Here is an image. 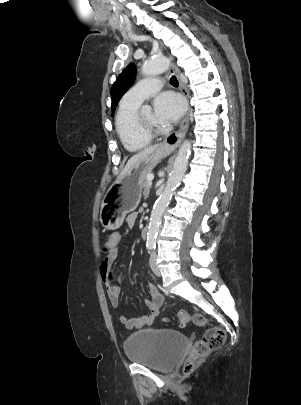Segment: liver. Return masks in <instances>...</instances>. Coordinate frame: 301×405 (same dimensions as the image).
Listing matches in <instances>:
<instances>
[{"label":"liver","instance_id":"6515ba94","mask_svg":"<svg viewBox=\"0 0 301 405\" xmlns=\"http://www.w3.org/2000/svg\"><path fill=\"white\" fill-rule=\"evenodd\" d=\"M160 147L159 144L149 146L139 153L133 155L127 162L126 166L122 170L121 174L118 176L117 180H120L134 165H136L140 160L149 156L152 152Z\"/></svg>","mask_w":301,"mask_h":405}]
</instances>
